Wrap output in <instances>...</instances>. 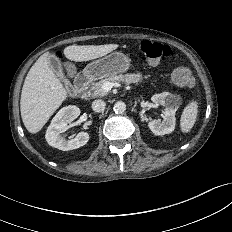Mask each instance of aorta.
Masks as SVG:
<instances>
[{
    "instance_id": "1",
    "label": "aorta",
    "mask_w": 232,
    "mask_h": 232,
    "mask_svg": "<svg viewBox=\"0 0 232 232\" xmlns=\"http://www.w3.org/2000/svg\"><path fill=\"white\" fill-rule=\"evenodd\" d=\"M114 112L117 114H122L126 110V104L123 101H118L114 104Z\"/></svg>"
}]
</instances>
